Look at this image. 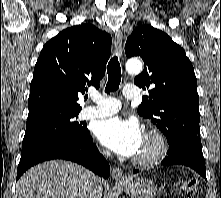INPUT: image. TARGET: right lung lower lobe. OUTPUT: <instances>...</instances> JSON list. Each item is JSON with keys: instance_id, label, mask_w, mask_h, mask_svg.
<instances>
[{"instance_id": "98d812e1", "label": "right lung lower lobe", "mask_w": 221, "mask_h": 198, "mask_svg": "<svg viewBox=\"0 0 221 198\" xmlns=\"http://www.w3.org/2000/svg\"><path fill=\"white\" fill-rule=\"evenodd\" d=\"M51 159L76 162L104 178H108L110 174L108 162L93 144V139L88 131L81 137H48L22 148L17 179L31 166Z\"/></svg>"}]
</instances>
